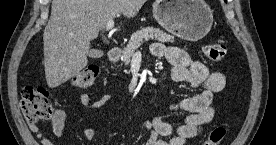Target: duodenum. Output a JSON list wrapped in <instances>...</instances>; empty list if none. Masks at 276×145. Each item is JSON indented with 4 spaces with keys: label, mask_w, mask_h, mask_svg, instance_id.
I'll list each match as a JSON object with an SVG mask.
<instances>
[{
    "label": "duodenum",
    "mask_w": 276,
    "mask_h": 145,
    "mask_svg": "<svg viewBox=\"0 0 276 145\" xmlns=\"http://www.w3.org/2000/svg\"><path fill=\"white\" fill-rule=\"evenodd\" d=\"M121 54V49L119 47H111L107 52V61L115 62L119 59Z\"/></svg>",
    "instance_id": "1"
}]
</instances>
